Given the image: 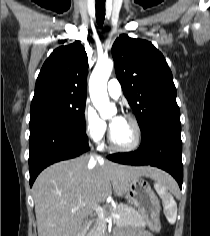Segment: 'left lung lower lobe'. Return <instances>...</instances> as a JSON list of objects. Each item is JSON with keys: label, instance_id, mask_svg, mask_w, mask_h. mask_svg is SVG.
<instances>
[{"label": "left lung lower lobe", "instance_id": "left-lung-lower-lobe-1", "mask_svg": "<svg viewBox=\"0 0 210 236\" xmlns=\"http://www.w3.org/2000/svg\"><path fill=\"white\" fill-rule=\"evenodd\" d=\"M141 145L129 153L107 158L127 165H150L170 173L182 188L183 164L180 118H161L149 122L142 130Z\"/></svg>", "mask_w": 210, "mask_h": 236}]
</instances>
